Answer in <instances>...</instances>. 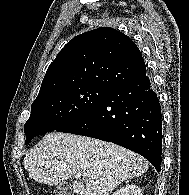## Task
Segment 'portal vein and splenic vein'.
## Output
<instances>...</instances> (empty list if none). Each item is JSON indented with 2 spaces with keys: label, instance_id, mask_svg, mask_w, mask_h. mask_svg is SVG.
Wrapping results in <instances>:
<instances>
[{
  "label": "portal vein and splenic vein",
  "instance_id": "18ae733b",
  "mask_svg": "<svg viewBox=\"0 0 189 195\" xmlns=\"http://www.w3.org/2000/svg\"><path fill=\"white\" fill-rule=\"evenodd\" d=\"M75 178H76L77 180H79V179H81V175H80V174H77V175L75 176Z\"/></svg>",
  "mask_w": 189,
  "mask_h": 195
}]
</instances>
